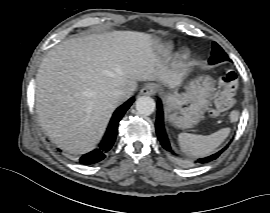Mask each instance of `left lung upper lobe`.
<instances>
[{"mask_svg":"<svg viewBox=\"0 0 270 213\" xmlns=\"http://www.w3.org/2000/svg\"><path fill=\"white\" fill-rule=\"evenodd\" d=\"M230 60L223 49L216 43H212V55L209 59V64H216L222 61Z\"/></svg>","mask_w":270,"mask_h":213,"instance_id":"left-lung-upper-lobe-1","label":"left lung upper lobe"}]
</instances>
